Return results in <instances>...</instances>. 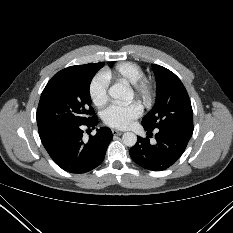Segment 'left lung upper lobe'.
Listing matches in <instances>:
<instances>
[{"label":"left lung upper lobe","instance_id":"obj_1","mask_svg":"<svg viewBox=\"0 0 233 233\" xmlns=\"http://www.w3.org/2000/svg\"><path fill=\"white\" fill-rule=\"evenodd\" d=\"M152 67L157 81V99L142 125L151 131L157 128L193 133V111L184 85L170 70L159 65Z\"/></svg>","mask_w":233,"mask_h":233}]
</instances>
